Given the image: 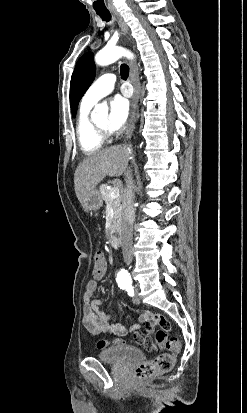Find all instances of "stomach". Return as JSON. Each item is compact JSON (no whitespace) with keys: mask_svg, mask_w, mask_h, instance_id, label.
<instances>
[{"mask_svg":"<svg viewBox=\"0 0 247 413\" xmlns=\"http://www.w3.org/2000/svg\"><path fill=\"white\" fill-rule=\"evenodd\" d=\"M82 209L89 213V211H97L100 209L103 204V198L99 192V190H91L89 194H87L86 198H83L82 202Z\"/></svg>","mask_w":247,"mask_h":413,"instance_id":"0dacf381","label":"stomach"}]
</instances>
